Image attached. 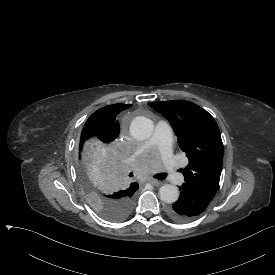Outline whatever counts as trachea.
Masks as SVG:
<instances>
[{
  "mask_svg": "<svg viewBox=\"0 0 275 275\" xmlns=\"http://www.w3.org/2000/svg\"><path fill=\"white\" fill-rule=\"evenodd\" d=\"M129 176L132 177L133 173H130ZM166 177H167V173H158L154 175V178L158 180H164Z\"/></svg>",
  "mask_w": 275,
  "mask_h": 275,
  "instance_id": "3493384b",
  "label": "trachea"
}]
</instances>
